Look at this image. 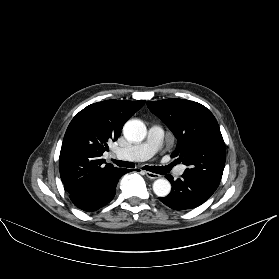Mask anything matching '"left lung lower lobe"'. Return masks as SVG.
<instances>
[{
  "label": "left lung lower lobe",
  "mask_w": 279,
  "mask_h": 279,
  "mask_svg": "<svg viewBox=\"0 0 279 279\" xmlns=\"http://www.w3.org/2000/svg\"><path fill=\"white\" fill-rule=\"evenodd\" d=\"M172 185L171 193L159 198L168 207L174 210L192 209L203 204L216 189L206 183L183 174L181 178L173 180L171 175H165Z\"/></svg>",
  "instance_id": "1"
}]
</instances>
